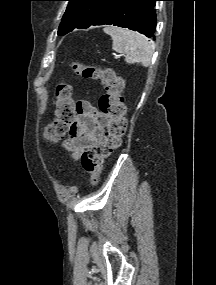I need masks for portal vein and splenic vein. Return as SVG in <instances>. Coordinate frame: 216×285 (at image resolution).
I'll return each instance as SVG.
<instances>
[{"label":"portal vein and splenic vein","instance_id":"18ae733b","mask_svg":"<svg viewBox=\"0 0 216 285\" xmlns=\"http://www.w3.org/2000/svg\"><path fill=\"white\" fill-rule=\"evenodd\" d=\"M120 56H121V55H115V59H118V58H120Z\"/></svg>","mask_w":216,"mask_h":285}]
</instances>
